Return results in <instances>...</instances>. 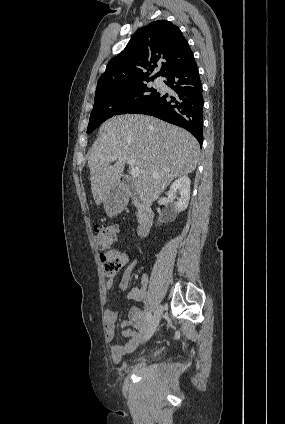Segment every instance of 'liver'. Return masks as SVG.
Wrapping results in <instances>:
<instances>
[{"label": "liver", "mask_w": 285, "mask_h": 424, "mask_svg": "<svg viewBox=\"0 0 285 424\" xmlns=\"http://www.w3.org/2000/svg\"><path fill=\"white\" fill-rule=\"evenodd\" d=\"M199 143L188 131L146 115H118L103 123L87 154L91 190L100 205L113 190L128 160L140 169L135 180L139 198L151 203L176 177L192 173ZM116 155L114 165L110 157Z\"/></svg>", "instance_id": "1"}]
</instances>
